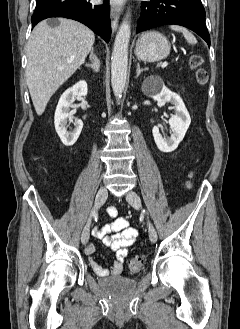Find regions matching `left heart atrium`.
Here are the masks:
<instances>
[{
	"mask_svg": "<svg viewBox=\"0 0 240 329\" xmlns=\"http://www.w3.org/2000/svg\"><path fill=\"white\" fill-rule=\"evenodd\" d=\"M123 0H111V3L114 5V6H119L121 3H122Z\"/></svg>",
	"mask_w": 240,
	"mask_h": 329,
	"instance_id": "39dd6f15",
	"label": "left heart atrium"
}]
</instances>
